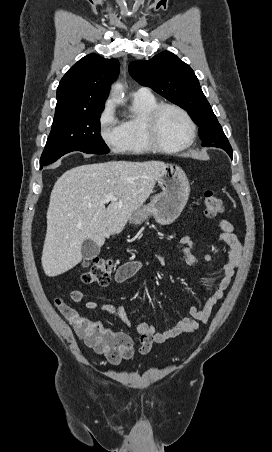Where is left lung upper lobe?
<instances>
[{"label": "left lung upper lobe", "mask_w": 272, "mask_h": 452, "mask_svg": "<svg viewBox=\"0 0 272 452\" xmlns=\"http://www.w3.org/2000/svg\"><path fill=\"white\" fill-rule=\"evenodd\" d=\"M129 72L142 86L152 88L172 103L188 111L200 127L203 146L226 151L230 146L221 125L203 94L191 67L171 52L163 51L150 60H137L129 65Z\"/></svg>", "instance_id": "1"}]
</instances>
